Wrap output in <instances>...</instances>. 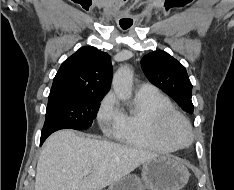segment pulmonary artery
<instances>
[{
  "label": "pulmonary artery",
  "mask_w": 234,
  "mask_h": 190,
  "mask_svg": "<svg viewBox=\"0 0 234 190\" xmlns=\"http://www.w3.org/2000/svg\"><path fill=\"white\" fill-rule=\"evenodd\" d=\"M156 90L155 87L151 84H148V83H143L140 85L139 87V93H148V92H152Z\"/></svg>",
  "instance_id": "obj_1"
}]
</instances>
